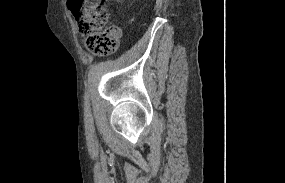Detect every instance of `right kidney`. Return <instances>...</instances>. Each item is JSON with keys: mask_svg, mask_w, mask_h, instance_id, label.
<instances>
[{"mask_svg": "<svg viewBox=\"0 0 285 183\" xmlns=\"http://www.w3.org/2000/svg\"><path fill=\"white\" fill-rule=\"evenodd\" d=\"M117 2H120V1H122V0H116Z\"/></svg>", "mask_w": 285, "mask_h": 183, "instance_id": "ca27d5eb", "label": "right kidney"}]
</instances>
